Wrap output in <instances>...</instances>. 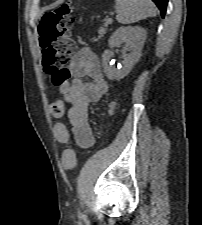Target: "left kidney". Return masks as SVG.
<instances>
[{"label":"left kidney","instance_id":"5707ae66","mask_svg":"<svg viewBox=\"0 0 202 225\" xmlns=\"http://www.w3.org/2000/svg\"><path fill=\"white\" fill-rule=\"evenodd\" d=\"M146 35V30L139 26L120 27L112 34L109 39L110 49L105 50L102 55V64L108 79L120 80L132 70L141 57ZM121 43H125V51H131V53L124 54L123 66L115 68L110 64V59L113 56L112 49Z\"/></svg>","mask_w":202,"mask_h":225}]
</instances>
